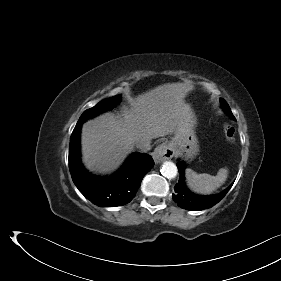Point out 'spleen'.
Listing matches in <instances>:
<instances>
[{
  "label": "spleen",
  "instance_id": "3e777b00",
  "mask_svg": "<svg viewBox=\"0 0 281 281\" xmlns=\"http://www.w3.org/2000/svg\"><path fill=\"white\" fill-rule=\"evenodd\" d=\"M186 183L195 193L207 195L223 185L228 177V169H219L216 176L197 174L192 169L185 170Z\"/></svg>",
  "mask_w": 281,
  "mask_h": 281
}]
</instances>
